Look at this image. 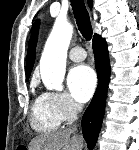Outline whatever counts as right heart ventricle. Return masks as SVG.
Masks as SVG:
<instances>
[{"label": "right heart ventricle", "mask_w": 139, "mask_h": 150, "mask_svg": "<svg viewBox=\"0 0 139 150\" xmlns=\"http://www.w3.org/2000/svg\"><path fill=\"white\" fill-rule=\"evenodd\" d=\"M62 120L47 93L38 95L31 107L30 123L37 132L47 133L58 129Z\"/></svg>", "instance_id": "right-heart-ventricle-1"}]
</instances>
